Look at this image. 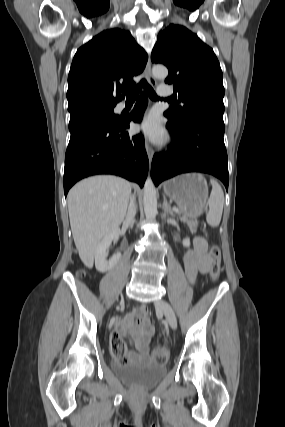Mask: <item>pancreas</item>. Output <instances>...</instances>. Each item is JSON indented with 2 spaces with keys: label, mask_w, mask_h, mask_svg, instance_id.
Wrapping results in <instances>:
<instances>
[{
  "label": "pancreas",
  "mask_w": 285,
  "mask_h": 427,
  "mask_svg": "<svg viewBox=\"0 0 285 427\" xmlns=\"http://www.w3.org/2000/svg\"><path fill=\"white\" fill-rule=\"evenodd\" d=\"M178 214H179V217H180V219L182 221L188 223L189 228H190L191 231H196L198 222L195 219L189 218L184 212H181V213H178Z\"/></svg>",
  "instance_id": "1"
}]
</instances>
